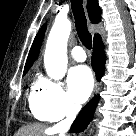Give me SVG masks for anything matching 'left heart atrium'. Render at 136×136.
Masks as SVG:
<instances>
[{"instance_id": "obj_1", "label": "left heart atrium", "mask_w": 136, "mask_h": 136, "mask_svg": "<svg viewBox=\"0 0 136 136\" xmlns=\"http://www.w3.org/2000/svg\"><path fill=\"white\" fill-rule=\"evenodd\" d=\"M94 86L91 70L87 66H76L68 75V90L71 98L82 103L90 96Z\"/></svg>"}]
</instances>
